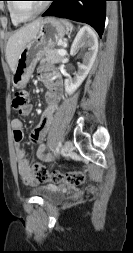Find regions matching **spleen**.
Listing matches in <instances>:
<instances>
[{
    "label": "spleen",
    "instance_id": "1",
    "mask_svg": "<svg viewBox=\"0 0 133 253\" xmlns=\"http://www.w3.org/2000/svg\"><path fill=\"white\" fill-rule=\"evenodd\" d=\"M63 23H64L68 28H70V29L73 28L72 25H71L69 22L65 21V20H63Z\"/></svg>",
    "mask_w": 133,
    "mask_h": 253
}]
</instances>
